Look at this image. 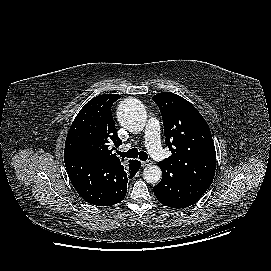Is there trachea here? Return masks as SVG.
Returning a JSON list of instances; mask_svg holds the SVG:
<instances>
[{"label":"trachea","mask_w":271,"mask_h":271,"mask_svg":"<svg viewBox=\"0 0 271 271\" xmlns=\"http://www.w3.org/2000/svg\"><path fill=\"white\" fill-rule=\"evenodd\" d=\"M122 158H139L141 161H146L148 159V154L144 151H138L136 148H132L127 152L118 153Z\"/></svg>","instance_id":"3493384b"}]
</instances>
